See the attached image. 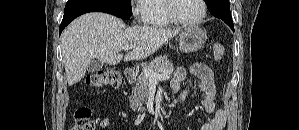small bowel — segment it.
Masks as SVG:
<instances>
[{
    "instance_id": "1",
    "label": "small bowel",
    "mask_w": 299,
    "mask_h": 130,
    "mask_svg": "<svg viewBox=\"0 0 299 130\" xmlns=\"http://www.w3.org/2000/svg\"><path fill=\"white\" fill-rule=\"evenodd\" d=\"M191 74L193 79L188 83L185 89L181 91V84ZM171 87L175 92L181 91V98H184L193 87L200 89L203 93L202 106L207 113L213 114L211 121L203 123L199 130H223L227 122L226 111L218 108L216 105V85L211 68L204 63H194L186 69L184 67L176 68ZM110 124V118L104 117L100 120V126L106 128Z\"/></svg>"
}]
</instances>
